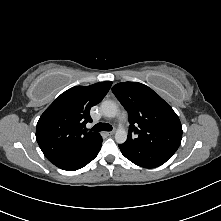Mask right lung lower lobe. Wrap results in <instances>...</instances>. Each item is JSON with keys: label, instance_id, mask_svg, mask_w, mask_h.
<instances>
[{"label": "right lung lower lobe", "instance_id": "obj_1", "mask_svg": "<svg viewBox=\"0 0 221 221\" xmlns=\"http://www.w3.org/2000/svg\"><path fill=\"white\" fill-rule=\"evenodd\" d=\"M102 145V138H100L90 149L84 152L75 163L64 168L67 171H75L91 162L99 153Z\"/></svg>", "mask_w": 221, "mask_h": 221}]
</instances>
